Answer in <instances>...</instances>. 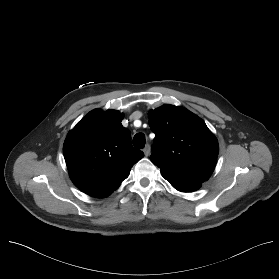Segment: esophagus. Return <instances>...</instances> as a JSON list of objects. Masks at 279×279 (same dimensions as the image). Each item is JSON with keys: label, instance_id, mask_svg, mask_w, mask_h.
Here are the masks:
<instances>
[{"label": "esophagus", "instance_id": "34e87169", "mask_svg": "<svg viewBox=\"0 0 279 279\" xmlns=\"http://www.w3.org/2000/svg\"><path fill=\"white\" fill-rule=\"evenodd\" d=\"M143 152H144V154H145L146 157L149 156V154H150V148H149V146H146V147L143 149Z\"/></svg>", "mask_w": 279, "mask_h": 279}]
</instances>
